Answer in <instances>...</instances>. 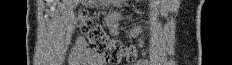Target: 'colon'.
<instances>
[{
  "label": "colon",
  "mask_w": 232,
  "mask_h": 65,
  "mask_svg": "<svg viewBox=\"0 0 232 65\" xmlns=\"http://www.w3.org/2000/svg\"><path fill=\"white\" fill-rule=\"evenodd\" d=\"M77 24L89 41L90 50L86 56L90 61L116 64L123 58L129 62L136 60L138 50L135 47H127L118 41L109 39L98 21L88 16L84 11L77 19ZM140 47L142 48V44Z\"/></svg>",
  "instance_id": "obj_1"
}]
</instances>
